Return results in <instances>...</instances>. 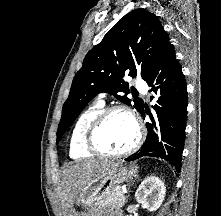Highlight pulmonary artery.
Wrapping results in <instances>:
<instances>
[{"mask_svg":"<svg viewBox=\"0 0 221 216\" xmlns=\"http://www.w3.org/2000/svg\"><path fill=\"white\" fill-rule=\"evenodd\" d=\"M136 86H137L138 89H140L142 91L146 90V84H145V82L143 80H138L136 82ZM103 97H104L103 94L99 95L100 102H103Z\"/></svg>","mask_w":221,"mask_h":216,"instance_id":"e3ab8cb5","label":"pulmonary artery"}]
</instances>
